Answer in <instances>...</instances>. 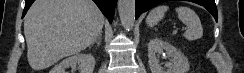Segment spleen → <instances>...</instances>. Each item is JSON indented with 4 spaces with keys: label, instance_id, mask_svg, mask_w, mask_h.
<instances>
[{
    "label": "spleen",
    "instance_id": "spleen-1",
    "mask_svg": "<svg viewBox=\"0 0 244 73\" xmlns=\"http://www.w3.org/2000/svg\"><path fill=\"white\" fill-rule=\"evenodd\" d=\"M169 10L166 5H160L150 11L146 18V23L149 27H153L159 21H161L165 13ZM176 13L178 19L187 26V30L184 32L183 36L188 41H194L200 39L203 36V27L198 15L189 7H177Z\"/></svg>",
    "mask_w": 244,
    "mask_h": 73
}]
</instances>
